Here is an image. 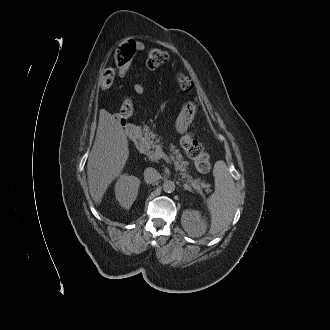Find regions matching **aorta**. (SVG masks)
<instances>
[{
	"label": "aorta",
	"mask_w": 330,
	"mask_h": 330,
	"mask_svg": "<svg viewBox=\"0 0 330 330\" xmlns=\"http://www.w3.org/2000/svg\"><path fill=\"white\" fill-rule=\"evenodd\" d=\"M175 183L171 180H166L164 183H163V190L166 192V193H172L174 190H175Z\"/></svg>",
	"instance_id": "762f6f07"
}]
</instances>
